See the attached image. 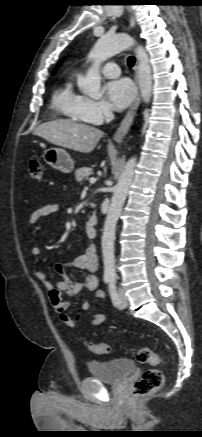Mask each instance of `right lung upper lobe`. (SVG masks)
Instances as JSON below:
<instances>
[{"label":"right lung upper lobe","instance_id":"1","mask_svg":"<svg viewBox=\"0 0 202 437\" xmlns=\"http://www.w3.org/2000/svg\"><path fill=\"white\" fill-rule=\"evenodd\" d=\"M61 62H62V61H60V62L58 63V66L61 64ZM56 69H57V68L54 69L53 73H55Z\"/></svg>","mask_w":202,"mask_h":437}]
</instances>
